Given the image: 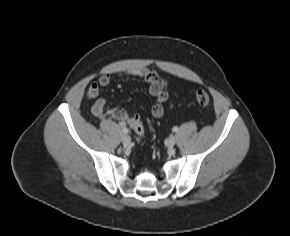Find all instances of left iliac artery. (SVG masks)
<instances>
[{
	"instance_id": "1",
	"label": "left iliac artery",
	"mask_w": 290,
	"mask_h": 236,
	"mask_svg": "<svg viewBox=\"0 0 290 236\" xmlns=\"http://www.w3.org/2000/svg\"><path fill=\"white\" fill-rule=\"evenodd\" d=\"M172 130H173V132H177L178 131V127L175 126V127H173Z\"/></svg>"
}]
</instances>
